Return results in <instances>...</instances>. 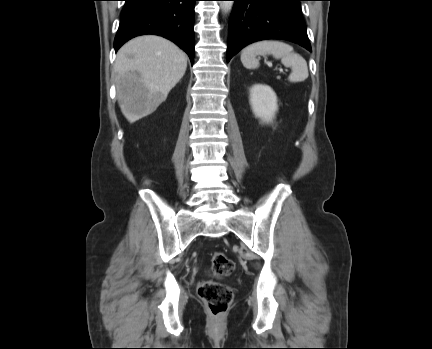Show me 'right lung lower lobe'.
<instances>
[{
  "label": "right lung lower lobe",
  "mask_w": 432,
  "mask_h": 349,
  "mask_svg": "<svg viewBox=\"0 0 432 349\" xmlns=\"http://www.w3.org/2000/svg\"><path fill=\"white\" fill-rule=\"evenodd\" d=\"M197 0H125L115 36L117 51L129 39L154 34L182 48L194 62V6Z\"/></svg>",
  "instance_id": "obj_1"
}]
</instances>
